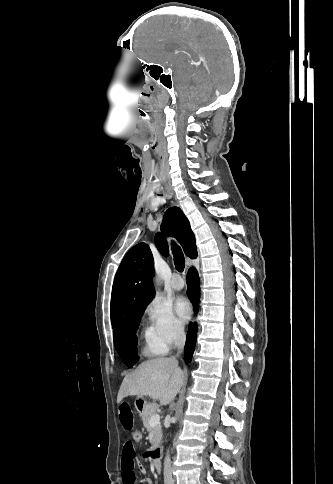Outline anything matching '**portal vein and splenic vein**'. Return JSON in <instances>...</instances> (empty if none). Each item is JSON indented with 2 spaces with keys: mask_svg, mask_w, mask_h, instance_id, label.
Listing matches in <instances>:
<instances>
[{
  "mask_svg": "<svg viewBox=\"0 0 333 484\" xmlns=\"http://www.w3.org/2000/svg\"><path fill=\"white\" fill-rule=\"evenodd\" d=\"M159 422H160V415L159 414H154L149 420L150 426H155V425L159 424Z\"/></svg>",
  "mask_w": 333,
  "mask_h": 484,
  "instance_id": "1",
  "label": "portal vein and splenic vein"
}]
</instances>
